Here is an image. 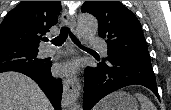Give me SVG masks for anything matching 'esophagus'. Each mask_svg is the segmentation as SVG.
<instances>
[{
  "mask_svg": "<svg viewBox=\"0 0 171 110\" xmlns=\"http://www.w3.org/2000/svg\"><path fill=\"white\" fill-rule=\"evenodd\" d=\"M64 23L71 29L74 34H78L76 20L73 15H69L67 10L63 14ZM80 85L76 78H65L63 80L62 106L70 107L79 95Z\"/></svg>",
  "mask_w": 171,
  "mask_h": 110,
  "instance_id": "1",
  "label": "esophagus"
}]
</instances>
